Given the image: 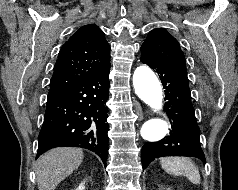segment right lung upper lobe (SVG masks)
Segmentation results:
<instances>
[{
    "instance_id": "obj_1",
    "label": "right lung upper lobe",
    "mask_w": 238,
    "mask_h": 190,
    "mask_svg": "<svg viewBox=\"0 0 238 190\" xmlns=\"http://www.w3.org/2000/svg\"><path fill=\"white\" fill-rule=\"evenodd\" d=\"M110 65V46L94 24L80 27L60 49L49 96L60 93Z\"/></svg>"
}]
</instances>
